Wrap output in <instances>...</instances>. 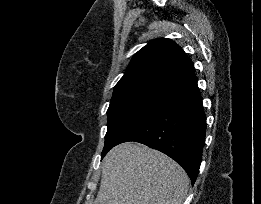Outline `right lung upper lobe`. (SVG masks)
<instances>
[{"mask_svg": "<svg viewBox=\"0 0 261 204\" xmlns=\"http://www.w3.org/2000/svg\"><path fill=\"white\" fill-rule=\"evenodd\" d=\"M195 77L194 65L171 39H155L132 58L113 95L136 91L169 93Z\"/></svg>", "mask_w": 261, "mask_h": 204, "instance_id": "1", "label": "right lung upper lobe"}]
</instances>
